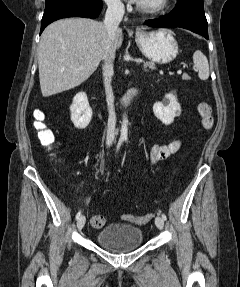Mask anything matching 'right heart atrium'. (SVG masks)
<instances>
[{
  "label": "right heart atrium",
  "mask_w": 240,
  "mask_h": 287,
  "mask_svg": "<svg viewBox=\"0 0 240 287\" xmlns=\"http://www.w3.org/2000/svg\"><path fill=\"white\" fill-rule=\"evenodd\" d=\"M105 3L113 9H119L123 6L122 0H104Z\"/></svg>",
  "instance_id": "d8ad5b80"
}]
</instances>
